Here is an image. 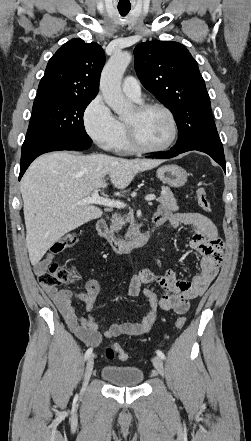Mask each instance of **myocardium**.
Masks as SVG:
<instances>
[{"instance_id": "myocardium-1", "label": "myocardium", "mask_w": 251, "mask_h": 441, "mask_svg": "<svg viewBox=\"0 0 251 441\" xmlns=\"http://www.w3.org/2000/svg\"><path fill=\"white\" fill-rule=\"evenodd\" d=\"M134 108L136 109L138 114L144 113L150 109L162 110L164 113H166V115L168 116L171 122L172 134L170 139L162 146H158V147L147 146L140 139L134 124L127 120H124L127 137L133 148L140 152H146V153L163 152L169 149L175 143L178 136V124L174 113L167 106L158 102H141L138 103Z\"/></svg>"}]
</instances>
